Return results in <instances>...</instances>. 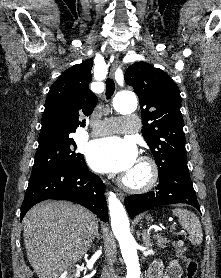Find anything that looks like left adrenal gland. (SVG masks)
Listing matches in <instances>:
<instances>
[{"label":"left adrenal gland","instance_id":"1","mask_svg":"<svg viewBox=\"0 0 221 278\" xmlns=\"http://www.w3.org/2000/svg\"><path fill=\"white\" fill-rule=\"evenodd\" d=\"M142 240H143V244H145L146 246H151V243H150V241H149V239H148V236H147V231H146V229H144V230L142 231Z\"/></svg>","mask_w":221,"mask_h":278}]
</instances>
